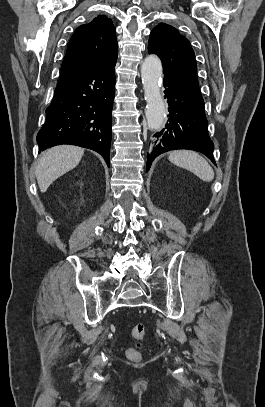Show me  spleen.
<instances>
[{"instance_id":"3e777b00","label":"spleen","mask_w":265,"mask_h":407,"mask_svg":"<svg viewBox=\"0 0 265 407\" xmlns=\"http://www.w3.org/2000/svg\"><path fill=\"white\" fill-rule=\"evenodd\" d=\"M168 159L173 164L191 171L203 181L210 182L214 179L212 167L201 155L194 151H173Z\"/></svg>"}]
</instances>
